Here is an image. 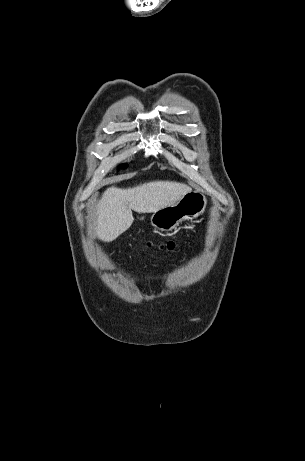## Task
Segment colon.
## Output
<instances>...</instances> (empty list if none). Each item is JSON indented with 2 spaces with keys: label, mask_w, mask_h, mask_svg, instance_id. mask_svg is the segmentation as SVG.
I'll return each mask as SVG.
<instances>
[{
  "label": "colon",
  "mask_w": 305,
  "mask_h": 461,
  "mask_svg": "<svg viewBox=\"0 0 305 461\" xmlns=\"http://www.w3.org/2000/svg\"><path fill=\"white\" fill-rule=\"evenodd\" d=\"M175 246V243L173 241H166L163 244H161V248L167 249V250H172Z\"/></svg>",
  "instance_id": "1"
}]
</instances>
